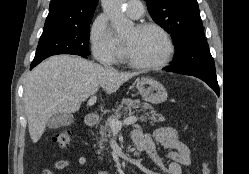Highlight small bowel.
<instances>
[{"label":"small bowel","mask_w":249,"mask_h":174,"mask_svg":"<svg viewBox=\"0 0 249 174\" xmlns=\"http://www.w3.org/2000/svg\"><path fill=\"white\" fill-rule=\"evenodd\" d=\"M135 144L142 143L144 145L143 153H145L150 161L157 169L155 174H183V167L192 164V156L189 147L179 138L177 131L171 127H161L154 131L153 138L148 134H144L141 130L135 129L132 133ZM155 143L168 150L167 157L170 160L165 165L163 159L156 150ZM79 165H86L88 159L84 155H80L76 159ZM71 166L69 160H58L54 164V170L44 169L42 174H56L55 170H64ZM97 174H109L107 171H100Z\"/></svg>","instance_id":"small-bowel-1"}]
</instances>
